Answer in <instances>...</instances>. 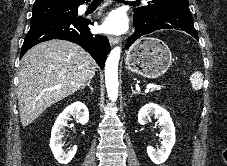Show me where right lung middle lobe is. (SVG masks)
Listing matches in <instances>:
<instances>
[{
	"mask_svg": "<svg viewBox=\"0 0 227 166\" xmlns=\"http://www.w3.org/2000/svg\"><path fill=\"white\" fill-rule=\"evenodd\" d=\"M78 5L43 4L33 6L31 22L39 21L53 16H74L78 14Z\"/></svg>",
	"mask_w": 227,
	"mask_h": 166,
	"instance_id": "dd1d6c3e",
	"label": "right lung middle lobe"
}]
</instances>
